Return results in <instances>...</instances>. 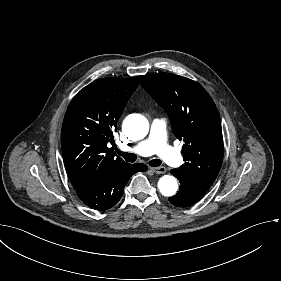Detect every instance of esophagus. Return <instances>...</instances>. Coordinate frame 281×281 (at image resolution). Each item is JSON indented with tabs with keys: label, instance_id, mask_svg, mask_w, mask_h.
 <instances>
[{
	"label": "esophagus",
	"instance_id": "obj_1",
	"mask_svg": "<svg viewBox=\"0 0 281 281\" xmlns=\"http://www.w3.org/2000/svg\"><path fill=\"white\" fill-rule=\"evenodd\" d=\"M152 171L156 174H164V173H166V168L163 166L154 167V168H152Z\"/></svg>",
	"mask_w": 281,
	"mask_h": 281
}]
</instances>
